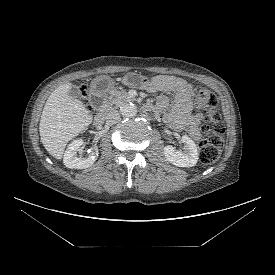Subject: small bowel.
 <instances>
[{"mask_svg": "<svg viewBox=\"0 0 275 275\" xmlns=\"http://www.w3.org/2000/svg\"><path fill=\"white\" fill-rule=\"evenodd\" d=\"M125 82L148 92H170L172 97L161 96L151 109L156 113L166 112L165 121L173 129L183 130L195 140L200 139L203 115L192 113L194 90L190 83L177 76L145 78L133 73L125 77Z\"/></svg>", "mask_w": 275, "mask_h": 275, "instance_id": "c3829d8e", "label": "small bowel"}]
</instances>
